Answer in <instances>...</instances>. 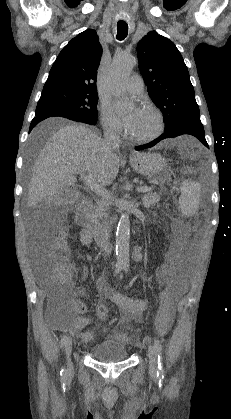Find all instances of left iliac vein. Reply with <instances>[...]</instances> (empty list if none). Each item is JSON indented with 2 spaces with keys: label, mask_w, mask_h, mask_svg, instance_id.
Segmentation results:
<instances>
[{
  "label": "left iliac vein",
  "mask_w": 231,
  "mask_h": 419,
  "mask_svg": "<svg viewBox=\"0 0 231 419\" xmlns=\"http://www.w3.org/2000/svg\"><path fill=\"white\" fill-rule=\"evenodd\" d=\"M148 357H149V371L150 374L155 375L158 368L157 362V351L154 345H150L148 348Z\"/></svg>",
  "instance_id": "obj_1"
}]
</instances>
